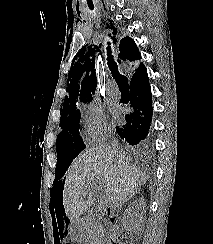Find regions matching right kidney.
Wrapping results in <instances>:
<instances>
[{"label":"right kidney","mask_w":213,"mask_h":244,"mask_svg":"<svg viewBox=\"0 0 213 244\" xmlns=\"http://www.w3.org/2000/svg\"><path fill=\"white\" fill-rule=\"evenodd\" d=\"M145 204H146L145 200L143 198H141L139 200L134 201L130 205V207H128V209H126V212L122 218V223L125 227L134 228L142 222L141 217H139L138 210L144 209ZM132 210H133V213H132Z\"/></svg>","instance_id":"obj_1"}]
</instances>
